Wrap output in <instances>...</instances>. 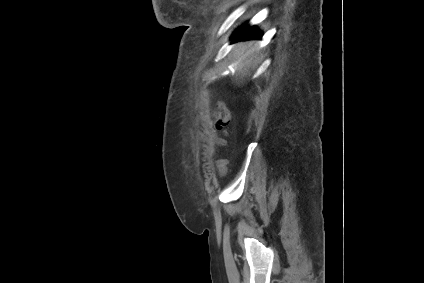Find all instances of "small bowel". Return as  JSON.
I'll use <instances>...</instances> for the list:
<instances>
[{"instance_id":"small-bowel-1","label":"small bowel","mask_w":424,"mask_h":283,"mask_svg":"<svg viewBox=\"0 0 424 283\" xmlns=\"http://www.w3.org/2000/svg\"><path fill=\"white\" fill-rule=\"evenodd\" d=\"M217 167L221 174H225L227 172V161L224 159H220L217 161Z\"/></svg>"}]
</instances>
